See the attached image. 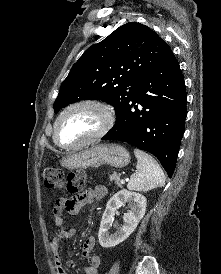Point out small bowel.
Here are the masks:
<instances>
[{
	"label": "small bowel",
	"instance_id": "c3829d8e",
	"mask_svg": "<svg viewBox=\"0 0 221 274\" xmlns=\"http://www.w3.org/2000/svg\"><path fill=\"white\" fill-rule=\"evenodd\" d=\"M107 189L104 186H98L94 189H88L80 196L74 198H59L53 207L54 224L57 228L51 241V250L53 253L54 264L58 274H67L62 259L61 244L64 240L73 237L76 233L74 227H67L64 219V212L71 215H78L87 204L95 203L104 198ZM95 248V238L88 237L83 244V255L86 258L87 266L84 268L85 274H99L98 268L101 264V258L92 251ZM71 265V262H68Z\"/></svg>",
	"mask_w": 221,
	"mask_h": 274
}]
</instances>
